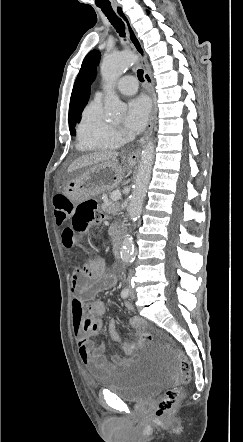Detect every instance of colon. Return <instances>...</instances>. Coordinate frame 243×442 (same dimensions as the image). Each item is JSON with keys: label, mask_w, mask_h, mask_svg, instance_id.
<instances>
[{"label": "colon", "mask_w": 243, "mask_h": 442, "mask_svg": "<svg viewBox=\"0 0 243 442\" xmlns=\"http://www.w3.org/2000/svg\"><path fill=\"white\" fill-rule=\"evenodd\" d=\"M55 220L58 226L70 222V226L64 228L62 232V243L66 248L74 247L79 239L86 233L91 224L104 226L105 222H115L119 220V215L115 213H99L94 200H86L77 207H74L70 200L63 194L53 197ZM142 341L153 340L151 334H143ZM163 346L169 349L179 364L180 378L183 383H188L191 379V364L187 356L180 350L174 349L167 341H163ZM181 397L179 388L168 389L159 400L156 408V416L159 419L170 417L175 411Z\"/></svg>", "instance_id": "colon-1"}]
</instances>
